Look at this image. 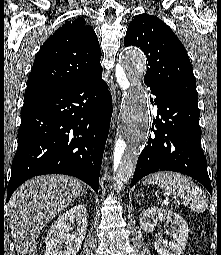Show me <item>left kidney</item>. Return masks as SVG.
<instances>
[{
	"label": "left kidney",
	"mask_w": 221,
	"mask_h": 255,
	"mask_svg": "<svg viewBox=\"0 0 221 255\" xmlns=\"http://www.w3.org/2000/svg\"><path fill=\"white\" fill-rule=\"evenodd\" d=\"M140 226L146 232L154 231L157 220L165 221V228L170 233L172 241L167 242L160 236L154 243L155 250L160 255H181L188 239L187 222L179 214L158 207H151L140 214Z\"/></svg>",
	"instance_id": "5707ae66"
}]
</instances>
